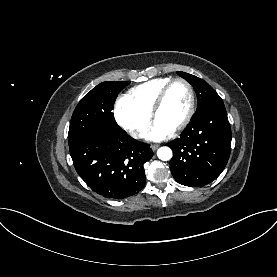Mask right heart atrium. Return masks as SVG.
<instances>
[{
	"label": "right heart atrium",
	"instance_id": "obj_1",
	"mask_svg": "<svg viewBox=\"0 0 277 277\" xmlns=\"http://www.w3.org/2000/svg\"><path fill=\"white\" fill-rule=\"evenodd\" d=\"M118 125L133 138L142 137L150 124V115L140 111L127 96H121L114 106Z\"/></svg>",
	"mask_w": 277,
	"mask_h": 277
}]
</instances>
